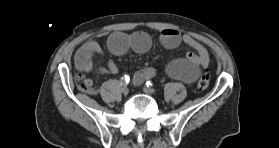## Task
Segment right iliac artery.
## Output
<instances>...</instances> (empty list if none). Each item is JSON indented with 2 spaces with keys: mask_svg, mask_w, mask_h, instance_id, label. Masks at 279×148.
<instances>
[{
  "mask_svg": "<svg viewBox=\"0 0 279 148\" xmlns=\"http://www.w3.org/2000/svg\"><path fill=\"white\" fill-rule=\"evenodd\" d=\"M130 77L128 75H124L121 79V84L123 86H127V84L129 83Z\"/></svg>",
  "mask_w": 279,
  "mask_h": 148,
  "instance_id": "82829eb1",
  "label": "right iliac artery"
}]
</instances>
